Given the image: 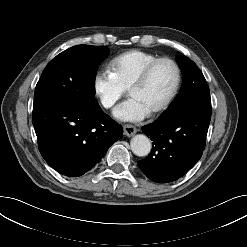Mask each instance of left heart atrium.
Returning <instances> with one entry per match:
<instances>
[{
	"mask_svg": "<svg viewBox=\"0 0 247 247\" xmlns=\"http://www.w3.org/2000/svg\"><path fill=\"white\" fill-rule=\"evenodd\" d=\"M150 109L135 98L119 105L113 112L116 119L121 121L138 122L146 118Z\"/></svg>",
	"mask_w": 247,
	"mask_h": 247,
	"instance_id": "left-heart-atrium-1",
	"label": "left heart atrium"
}]
</instances>
